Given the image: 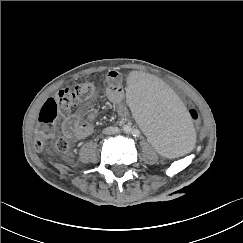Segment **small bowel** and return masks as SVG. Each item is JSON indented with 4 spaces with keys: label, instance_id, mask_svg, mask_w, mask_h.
<instances>
[{
    "label": "small bowel",
    "instance_id": "1",
    "mask_svg": "<svg viewBox=\"0 0 243 243\" xmlns=\"http://www.w3.org/2000/svg\"><path fill=\"white\" fill-rule=\"evenodd\" d=\"M108 87L105 91L108 99L117 107L122 119L128 116V110L124 105V93L122 90V78L118 71L111 70L106 76ZM95 118L93 112L82 119L79 113L67 115L62 124V133L72 141L86 138L92 132V122Z\"/></svg>",
    "mask_w": 243,
    "mask_h": 243
}]
</instances>
